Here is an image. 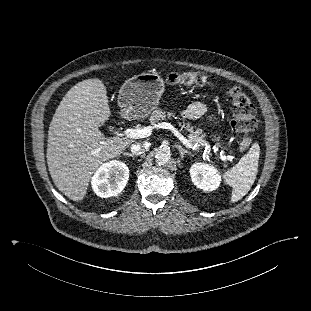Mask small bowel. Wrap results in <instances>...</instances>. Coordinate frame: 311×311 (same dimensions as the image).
<instances>
[{"label":"small bowel","mask_w":311,"mask_h":311,"mask_svg":"<svg viewBox=\"0 0 311 311\" xmlns=\"http://www.w3.org/2000/svg\"><path fill=\"white\" fill-rule=\"evenodd\" d=\"M207 111V106L201 102L192 103L182 112L184 118L196 120L202 117Z\"/></svg>","instance_id":"obj_1"}]
</instances>
